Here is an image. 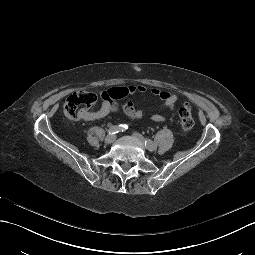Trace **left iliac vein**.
Returning <instances> with one entry per match:
<instances>
[{"mask_svg": "<svg viewBox=\"0 0 255 255\" xmlns=\"http://www.w3.org/2000/svg\"><path fill=\"white\" fill-rule=\"evenodd\" d=\"M133 137H134L136 140H138L141 144H143V145L145 146V148H147L149 151H155V150H156V148H157L156 145L151 146V147L145 145V139H144V137H143L141 134H139V133H137V132H134V133H133Z\"/></svg>", "mask_w": 255, "mask_h": 255, "instance_id": "obj_1", "label": "left iliac vein"}]
</instances>
